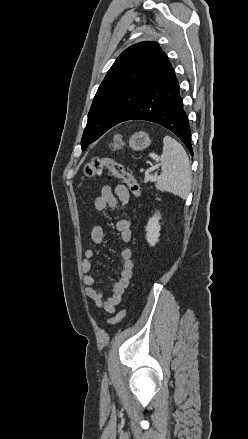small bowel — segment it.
Here are the masks:
<instances>
[{
  "mask_svg": "<svg viewBox=\"0 0 248 439\" xmlns=\"http://www.w3.org/2000/svg\"><path fill=\"white\" fill-rule=\"evenodd\" d=\"M129 197V191L124 185H117L114 189L109 185H105L102 187L100 195L95 198L94 207L97 211H103L107 207L119 208L128 202ZM116 230L118 231L122 242L129 243L131 241L132 231L129 220L119 219L116 222ZM90 238L94 244H101L104 240V230L102 226H94L91 230ZM94 255L95 252L92 248L86 249L81 263V270L84 273L83 282L86 286L85 294L98 308L112 314L115 312L116 307L121 303L124 292L128 288L132 278L134 269L132 251L130 248L126 247L120 252L122 271L119 279L114 282L112 294L109 297H105L102 291L94 288L96 279L91 274L93 269L92 259Z\"/></svg>",
  "mask_w": 248,
  "mask_h": 439,
  "instance_id": "1",
  "label": "small bowel"
}]
</instances>
